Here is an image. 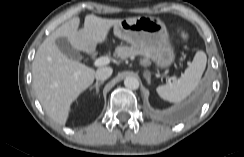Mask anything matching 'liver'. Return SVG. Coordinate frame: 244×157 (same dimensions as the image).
<instances>
[{"label": "liver", "instance_id": "obj_1", "mask_svg": "<svg viewBox=\"0 0 244 157\" xmlns=\"http://www.w3.org/2000/svg\"><path fill=\"white\" fill-rule=\"evenodd\" d=\"M121 19L85 16L83 30L80 18L62 24L39 46L32 63L33 89L46 114L57 124L65 125L72 103L94 81L95 70L65 56L56 39L65 37L75 50L87 52L107 41L110 29Z\"/></svg>", "mask_w": 244, "mask_h": 157}]
</instances>
